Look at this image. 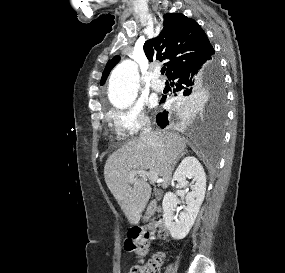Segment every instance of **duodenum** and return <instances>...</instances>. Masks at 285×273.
Returning a JSON list of instances; mask_svg holds the SVG:
<instances>
[{"mask_svg":"<svg viewBox=\"0 0 285 273\" xmlns=\"http://www.w3.org/2000/svg\"><path fill=\"white\" fill-rule=\"evenodd\" d=\"M157 210V205L156 204H152L150 207V211L151 213L155 212Z\"/></svg>","mask_w":285,"mask_h":273,"instance_id":"duodenum-1","label":"duodenum"}]
</instances>
